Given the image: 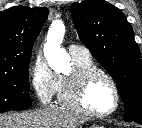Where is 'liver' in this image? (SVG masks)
<instances>
[{"instance_id":"liver-1","label":"liver","mask_w":142,"mask_h":128,"mask_svg":"<svg viewBox=\"0 0 142 128\" xmlns=\"http://www.w3.org/2000/svg\"><path fill=\"white\" fill-rule=\"evenodd\" d=\"M84 118L78 114L58 109L45 108L21 113L0 115V128H76Z\"/></svg>"}]
</instances>
